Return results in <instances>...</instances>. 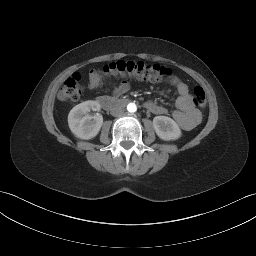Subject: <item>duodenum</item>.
Returning <instances> with one entry per match:
<instances>
[{
  "instance_id": "obj_1",
  "label": "duodenum",
  "mask_w": 256,
  "mask_h": 256,
  "mask_svg": "<svg viewBox=\"0 0 256 256\" xmlns=\"http://www.w3.org/2000/svg\"><path fill=\"white\" fill-rule=\"evenodd\" d=\"M98 102L105 110H113L115 108H120L128 105L131 100L128 98L119 99L110 96H101L98 98Z\"/></svg>"
}]
</instances>
